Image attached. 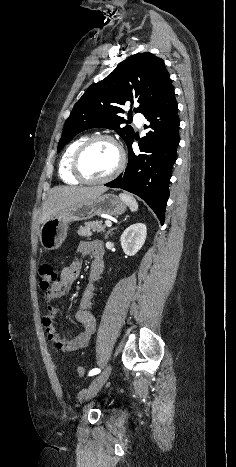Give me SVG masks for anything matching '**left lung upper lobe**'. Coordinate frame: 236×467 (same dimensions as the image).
Masks as SVG:
<instances>
[{"label":"left lung upper lobe","instance_id":"1","mask_svg":"<svg viewBox=\"0 0 236 467\" xmlns=\"http://www.w3.org/2000/svg\"><path fill=\"white\" fill-rule=\"evenodd\" d=\"M172 87L161 58L146 52L122 61L104 80L92 85L75 104L66 120L59 152L75 135L94 128L115 129L126 144L134 137L131 126L122 117L126 102H138L135 112H148ZM129 116L131 111H129Z\"/></svg>","mask_w":236,"mask_h":467}]
</instances>
